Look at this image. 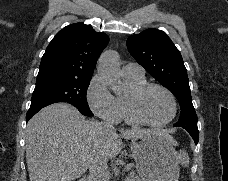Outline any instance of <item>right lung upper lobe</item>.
Here are the masks:
<instances>
[{"instance_id": "1", "label": "right lung upper lobe", "mask_w": 228, "mask_h": 181, "mask_svg": "<svg viewBox=\"0 0 228 181\" xmlns=\"http://www.w3.org/2000/svg\"><path fill=\"white\" fill-rule=\"evenodd\" d=\"M108 40L105 33L96 32L90 25L74 23L64 27L48 45L37 77L60 75L91 79Z\"/></svg>"}]
</instances>
